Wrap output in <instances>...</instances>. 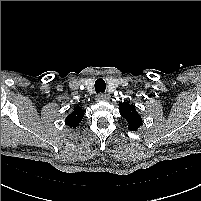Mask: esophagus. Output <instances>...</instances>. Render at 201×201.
<instances>
[{
	"label": "esophagus",
	"instance_id": "obj_1",
	"mask_svg": "<svg viewBox=\"0 0 201 201\" xmlns=\"http://www.w3.org/2000/svg\"><path fill=\"white\" fill-rule=\"evenodd\" d=\"M97 101H109L110 100V96L108 94H99L96 98Z\"/></svg>",
	"mask_w": 201,
	"mask_h": 201
}]
</instances>
